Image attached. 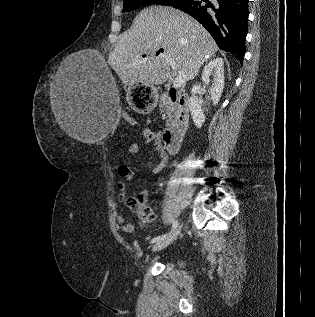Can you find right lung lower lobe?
Here are the masks:
<instances>
[{
    "label": "right lung lower lobe",
    "mask_w": 315,
    "mask_h": 317,
    "mask_svg": "<svg viewBox=\"0 0 315 317\" xmlns=\"http://www.w3.org/2000/svg\"><path fill=\"white\" fill-rule=\"evenodd\" d=\"M172 6L197 19L221 50L232 53L243 62L248 0H179Z\"/></svg>",
    "instance_id": "1"
}]
</instances>
